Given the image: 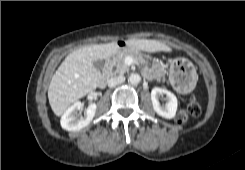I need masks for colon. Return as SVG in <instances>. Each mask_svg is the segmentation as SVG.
Returning <instances> with one entry per match:
<instances>
[{
  "label": "colon",
  "mask_w": 245,
  "mask_h": 170,
  "mask_svg": "<svg viewBox=\"0 0 245 170\" xmlns=\"http://www.w3.org/2000/svg\"><path fill=\"white\" fill-rule=\"evenodd\" d=\"M191 71V64L185 59H178L172 67V83L179 86L188 81L189 73ZM201 113V106L198 101L191 99L186 109L178 112L176 120L179 124L185 123L189 116L196 117Z\"/></svg>",
  "instance_id": "5ec220e1"
}]
</instances>
